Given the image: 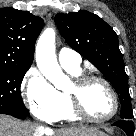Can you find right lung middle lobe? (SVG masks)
I'll use <instances>...</instances> for the list:
<instances>
[{"mask_svg":"<svg viewBox=\"0 0 136 136\" xmlns=\"http://www.w3.org/2000/svg\"><path fill=\"white\" fill-rule=\"evenodd\" d=\"M29 68L0 67V113L28 116L20 86Z\"/></svg>","mask_w":136,"mask_h":136,"instance_id":"dd1d6c3e","label":"right lung middle lobe"}]
</instances>
